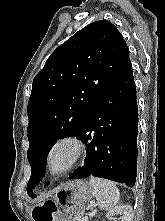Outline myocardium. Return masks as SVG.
Here are the masks:
<instances>
[{
	"label": "myocardium",
	"mask_w": 165,
	"mask_h": 221,
	"mask_svg": "<svg viewBox=\"0 0 165 221\" xmlns=\"http://www.w3.org/2000/svg\"><path fill=\"white\" fill-rule=\"evenodd\" d=\"M64 144L70 145L73 148V157L67 167H65L62 170H54L51 167V163H50L51 154L58 146L64 145ZM85 151H86L85 143L78 135L66 134V135H62L56 138L50 144L46 152L45 160H46V166H47L48 171L53 175H64L72 171L83 158Z\"/></svg>",
	"instance_id": "f54148a6"
}]
</instances>
